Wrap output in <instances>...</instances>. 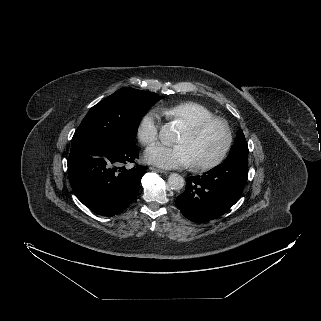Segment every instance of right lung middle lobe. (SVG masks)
Segmentation results:
<instances>
[{"label":"right lung middle lobe","mask_w":321,"mask_h":321,"mask_svg":"<svg viewBox=\"0 0 321 321\" xmlns=\"http://www.w3.org/2000/svg\"><path fill=\"white\" fill-rule=\"evenodd\" d=\"M160 98L156 93L128 87L117 90L89 110L72 143L80 140L135 143L142 116Z\"/></svg>","instance_id":"obj_1"}]
</instances>
